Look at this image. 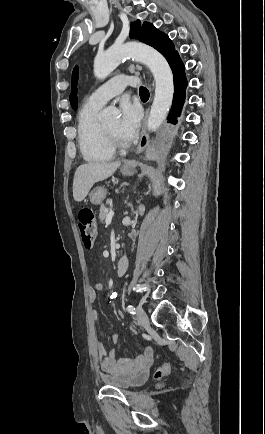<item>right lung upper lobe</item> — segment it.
I'll list each match as a JSON object with an SVG mask.
<instances>
[{
  "mask_svg": "<svg viewBox=\"0 0 265 434\" xmlns=\"http://www.w3.org/2000/svg\"><path fill=\"white\" fill-rule=\"evenodd\" d=\"M78 82V68L76 67L72 74V93L70 95V103L73 109L77 108V89L76 85Z\"/></svg>",
  "mask_w": 265,
  "mask_h": 434,
  "instance_id": "cb5924a9",
  "label": "right lung upper lobe"
}]
</instances>
